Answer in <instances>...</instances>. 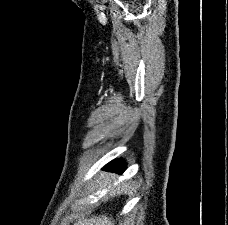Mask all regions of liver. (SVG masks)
Instances as JSON below:
<instances>
[{"mask_svg":"<svg viewBox=\"0 0 228 225\" xmlns=\"http://www.w3.org/2000/svg\"><path fill=\"white\" fill-rule=\"evenodd\" d=\"M112 175V177H110ZM116 179L117 175L114 173H101V179ZM83 225H115L113 219L111 217H107V215H98V217H91V219H84Z\"/></svg>","mask_w":228,"mask_h":225,"instance_id":"obj_1","label":"liver"}]
</instances>
